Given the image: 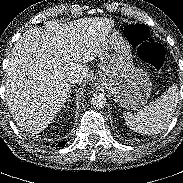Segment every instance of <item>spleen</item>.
Listing matches in <instances>:
<instances>
[{
	"label": "spleen",
	"instance_id": "obj_1",
	"mask_svg": "<svg viewBox=\"0 0 183 183\" xmlns=\"http://www.w3.org/2000/svg\"><path fill=\"white\" fill-rule=\"evenodd\" d=\"M178 87L173 85L159 99L149 103L137 113H123L130 129L142 135H155L165 130L177 108Z\"/></svg>",
	"mask_w": 183,
	"mask_h": 183
}]
</instances>
